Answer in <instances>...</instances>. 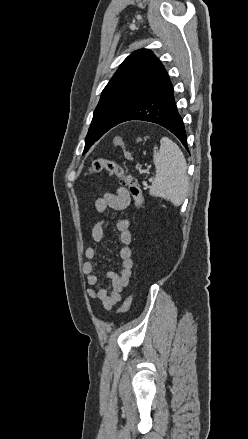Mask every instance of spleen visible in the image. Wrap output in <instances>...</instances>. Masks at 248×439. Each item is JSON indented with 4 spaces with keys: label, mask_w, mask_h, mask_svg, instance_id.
Listing matches in <instances>:
<instances>
[{
    "label": "spleen",
    "mask_w": 248,
    "mask_h": 439,
    "mask_svg": "<svg viewBox=\"0 0 248 439\" xmlns=\"http://www.w3.org/2000/svg\"><path fill=\"white\" fill-rule=\"evenodd\" d=\"M160 144L159 150L154 147L156 174L149 194L179 206L188 191L187 163L179 146L168 137H162Z\"/></svg>",
    "instance_id": "spleen-1"
}]
</instances>
